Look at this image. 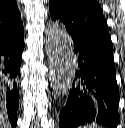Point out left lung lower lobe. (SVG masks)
<instances>
[{"mask_svg":"<svg viewBox=\"0 0 125 128\" xmlns=\"http://www.w3.org/2000/svg\"><path fill=\"white\" fill-rule=\"evenodd\" d=\"M73 39L78 68L59 128H77L89 123L116 128L119 124V91L113 48Z\"/></svg>","mask_w":125,"mask_h":128,"instance_id":"0a47b994","label":"left lung lower lobe"}]
</instances>
